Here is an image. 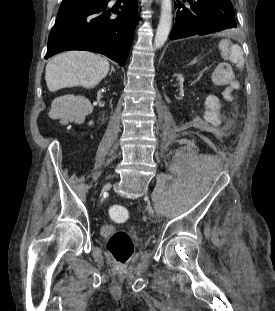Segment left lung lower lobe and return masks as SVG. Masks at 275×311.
I'll return each instance as SVG.
<instances>
[{
    "instance_id": "1",
    "label": "left lung lower lobe",
    "mask_w": 275,
    "mask_h": 311,
    "mask_svg": "<svg viewBox=\"0 0 275 311\" xmlns=\"http://www.w3.org/2000/svg\"><path fill=\"white\" fill-rule=\"evenodd\" d=\"M174 4L177 12L171 40L236 28L230 0H177Z\"/></svg>"
}]
</instances>
